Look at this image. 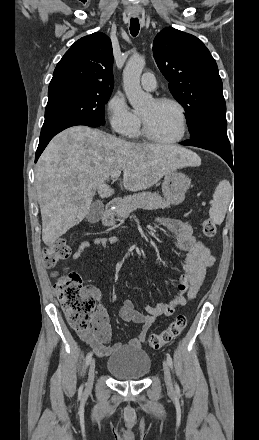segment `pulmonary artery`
<instances>
[{
    "instance_id": "e3ab8cb5",
    "label": "pulmonary artery",
    "mask_w": 259,
    "mask_h": 440,
    "mask_svg": "<svg viewBox=\"0 0 259 440\" xmlns=\"http://www.w3.org/2000/svg\"><path fill=\"white\" fill-rule=\"evenodd\" d=\"M141 86L147 91L155 90L157 86L155 76L150 72L144 73L141 77Z\"/></svg>"
}]
</instances>
